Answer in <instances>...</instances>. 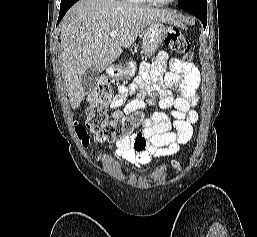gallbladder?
I'll use <instances>...</instances> for the list:
<instances>
[{"mask_svg":"<svg viewBox=\"0 0 257 237\" xmlns=\"http://www.w3.org/2000/svg\"><path fill=\"white\" fill-rule=\"evenodd\" d=\"M99 71L95 67L88 68L82 75L81 83L85 93H89L96 85Z\"/></svg>","mask_w":257,"mask_h":237,"instance_id":"obj_1","label":"gallbladder"}]
</instances>
